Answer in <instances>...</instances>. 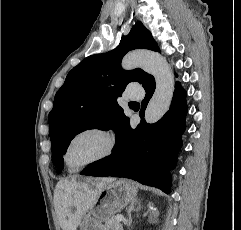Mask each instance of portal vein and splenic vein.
Listing matches in <instances>:
<instances>
[{
	"mask_svg": "<svg viewBox=\"0 0 241 230\" xmlns=\"http://www.w3.org/2000/svg\"><path fill=\"white\" fill-rule=\"evenodd\" d=\"M116 219H117L118 221H123V220H124V218H123L121 215H118V216L116 217Z\"/></svg>",
	"mask_w": 241,
	"mask_h": 230,
	"instance_id": "obj_1",
	"label": "portal vein and splenic vein"
}]
</instances>
